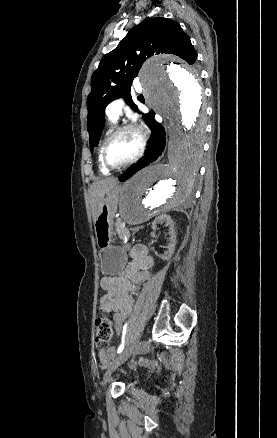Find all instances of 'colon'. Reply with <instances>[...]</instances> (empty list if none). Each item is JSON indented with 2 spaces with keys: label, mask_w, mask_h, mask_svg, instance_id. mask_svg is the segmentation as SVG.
I'll list each match as a JSON object with an SVG mask.
<instances>
[{
  "label": "colon",
  "mask_w": 277,
  "mask_h": 438,
  "mask_svg": "<svg viewBox=\"0 0 277 438\" xmlns=\"http://www.w3.org/2000/svg\"><path fill=\"white\" fill-rule=\"evenodd\" d=\"M115 333L114 322L111 317L105 316L95 321V343L100 349H107ZM151 364L147 360L140 359L136 364Z\"/></svg>",
  "instance_id": "obj_1"
}]
</instances>
